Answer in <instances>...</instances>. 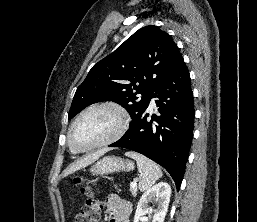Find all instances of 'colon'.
<instances>
[{
	"label": "colon",
	"instance_id": "colon-1",
	"mask_svg": "<svg viewBox=\"0 0 257 222\" xmlns=\"http://www.w3.org/2000/svg\"><path fill=\"white\" fill-rule=\"evenodd\" d=\"M73 184L78 186L81 193L86 196L85 205L75 216L74 222H97L99 219L101 202L97 198L94 187L87 183L81 175H78L73 179Z\"/></svg>",
	"mask_w": 257,
	"mask_h": 222
}]
</instances>
